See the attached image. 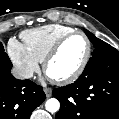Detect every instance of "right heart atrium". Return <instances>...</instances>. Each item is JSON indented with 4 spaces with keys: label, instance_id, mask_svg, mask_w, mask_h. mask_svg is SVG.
Segmentation results:
<instances>
[{
    "label": "right heart atrium",
    "instance_id": "d8ad5b80",
    "mask_svg": "<svg viewBox=\"0 0 119 119\" xmlns=\"http://www.w3.org/2000/svg\"><path fill=\"white\" fill-rule=\"evenodd\" d=\"M9 57L14 64L17 73L30 79L39 69V61L28 51L24 43L12 38L7 46Z\"/></svg>",
    "mask_w": 119,
    "mask_h": 119
}]
</instances>
